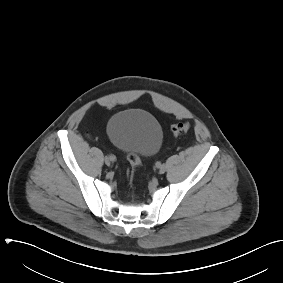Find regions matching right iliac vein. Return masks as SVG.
I'll return each instance as SVG.
<instances>
[{
  "label": "right iliac vein",
  "mask_w": 283,
  "mask_h": 283,
  "mask_svg": "<svg viewBox=\"0 0 283 283\" xmlns=\"http://www.w3.org/2000/svg\"><path fill=\"white\" fill-rule=\"evenodd\" d=\"M111 162H113L112 160H111V158L108 156V157H105V164L106 165H110L111 164Z\"/></svg>",
  "instance_id": "1"
}]
</instances>
